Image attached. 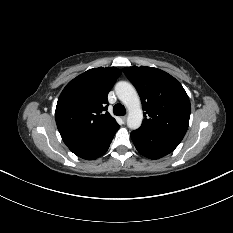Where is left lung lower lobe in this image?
I'll return each mask as SVG.
<instances>
[{
  "mask_svg": "<svg viewBox=\"0 0 233 233\" xmlns=\"http://www.w3.org/2000/svg\"><path fill=\"white\" fill-rule=\"evenodd\" d=\"M132 141L140 154L158 159L171 153L182 141L181 138L139 128L131 132Z\"/></svg>",
  "mask_w": 233,
  "mask_h": 233,
  "instance_id": "1",
  "label": "left lung lower lobe"
}]
</instances>
